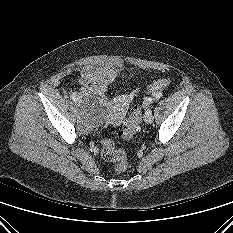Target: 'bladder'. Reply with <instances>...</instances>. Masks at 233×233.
<instances>
[{
    "instance_id": "bladder-1",
    "label": "bladder",
    "mask_w": 233,
    "mask_h": 233,
    "mask_svg": "<svg viewBox=\"0 0 233 233\" xmlns=\"http://www.w3.org/2000/svg\"><path fill=\"white\" fill-rule=\"evenodd\" d=\"M85 78L106 80L114 70L105 67H88L83 71ZM82 119L86 130H92L102 126L109 118L104 95L98 90L85 89L78 94Z\"/></svg>"
}]
</instances>
